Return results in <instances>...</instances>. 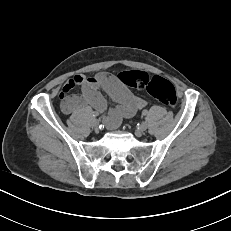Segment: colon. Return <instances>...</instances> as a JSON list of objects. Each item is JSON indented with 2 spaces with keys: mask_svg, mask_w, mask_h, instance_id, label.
<instances>
[{
  "mask_svg": "<svg viewBox=\"0 0 231 231\" xmlns=\"http://www.w3.org/2000/svg\"><path fill=\"white\" fill-rule=\"evenodd\" d=\"M118 79L126 86L146 89L153 98L165 106L173 107L177 103L175 87L162 77H150L142 71H124L118 75Z\"/></svg>",
  "mask_w": 231,
  "mask_h": 231,
  "instance_id": "obj_1",
  "label": "colon"
}]
</instances>
